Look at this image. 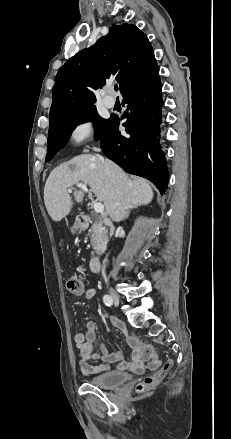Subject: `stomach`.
<instances>
[{"instance_id":"obj_1","label":"stomach","mask_w":231,"mask_h":439,"mask_svg":"<svg viewBox=\"0 0 231 439\" xmlns=\"http://www.w3.org/2000/svg\"><path fill=\"white\" fill-rule=\"evenodd\" d=\"M77 229H78V225L75 224V226H74V228H73L72 230L75 231V230H77Z\"/></svg>"}]
</instances>
